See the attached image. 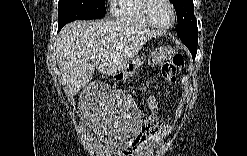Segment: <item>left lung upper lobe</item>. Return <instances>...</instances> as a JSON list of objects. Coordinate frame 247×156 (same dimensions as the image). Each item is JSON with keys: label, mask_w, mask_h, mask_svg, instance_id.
<instances>
[{"label": "left lung upper lobe", "mask_w": 247, "mask_h": 156, "mask_svg": "<svg viewBox=\"0 0 247 156\" xmlns=\"http://www.w3.org/2000/svg\"><path fill=\"white\" fill-rule=\"evenodd\" d=\"M177 14V35L182 42L192 48H197L198 29L194 16L193 0H171Z\"/></svg>", "instance_id": "1"}]
</instances>
